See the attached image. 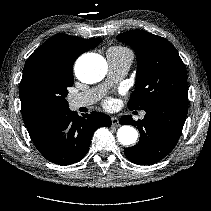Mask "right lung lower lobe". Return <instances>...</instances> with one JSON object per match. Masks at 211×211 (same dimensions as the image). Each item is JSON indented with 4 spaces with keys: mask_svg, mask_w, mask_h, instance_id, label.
<instances>
[{
    "mask_svg": "<svg viewBox=\"0 0 211 211\" xmlns=\"http://www.w3.org/2000/svg\"><path fill=\"white\" fill-rule=\"evenodd\" d=\"M111 124V118L104 113L91 112L81 117L67 108L54 113L28 132L47 160L58 165H69L86 155L97 128Z\"/></svg>",
    "mask_w": 211,
    "mask_h": 211,
    "instance_id": "right-lung-lower-lobe-1",
    "label": "right lung lower lobe"
}]
</instances>
